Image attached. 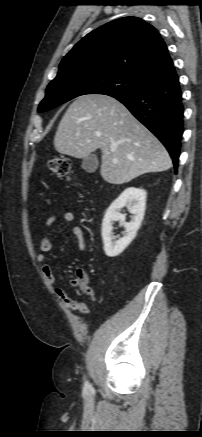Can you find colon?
Instances as JSON below:
<instances>
[{
	"mask_svg": "<svg viewBox=\"0 0 202 437\" xmlns=\"http://www.w3.org/2000/svg\"><path fill=\"white\" fill-rule=\"evenodd\" d=\"M47 169L53 174L69 179L72 172V164L67 157H54L47 161ZM72 283L78 287L82 292L88 293L90 288L88 286L87 278L83 271L77 270L70 275Z\"/></svg>",
	"mask_w": 202,
	"mask_h": 437,
	"instance_id": "5ec220e1",
	"label": "colon"
}]
</instances>
